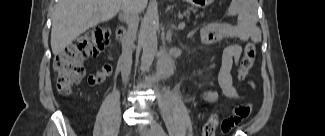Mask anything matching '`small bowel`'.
<instances>
[{"instance_id": "obj_1", "label": "small bowel", "mask_w": 325, "mask_h": 136, "mask_svg": "<svg viewBox=\"0 0 325 136\" xmlns=\"http://www.w3.org/2000/svg\"><path fill=\"white\" fill-rule=\"evenodd\" d=\"M200 38L205 44H217L228 39H239L246 41L256 38L255 27L244 17L238 16L237 23L233 25H214L200 30ZM242 48L239 45L228 46L222 55V63L219 72V85L222 92L235 100H243V97L236 91L232 83L231 69L234 62H237L241 56ZM113 73V66L110 63H103L101 69L88 76V84L96 86L103 83ZM249 83L253 85L250 80ZM209 99L215 101L217 95L209 94ZM250 113V108L240 106L234 109V114L222 122L221 130L224 133L229 132L234 126L240 123L242 119Z\"/></svg>"}]
</instances>
